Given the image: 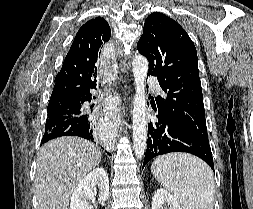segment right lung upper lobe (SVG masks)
<instances>
[{
	"instance_id": "cb5924a9",
	"label": "right lung upper lobe",
	"mask_w": 253,
	"mask_h": 209,
	"mask_svg": "<svg viewBox=\"0 0 253 209\" xmlns=\"http://www.w3.org/2000/svg\"><path fill=\"white\" fill-rule=\"evenodd\" d=\"M110 37V26L101 17L91 19L79 29L62 68L55 77L49 104L78 100L96 88L100 48Z\"/></svg>"
}]
</instances>
